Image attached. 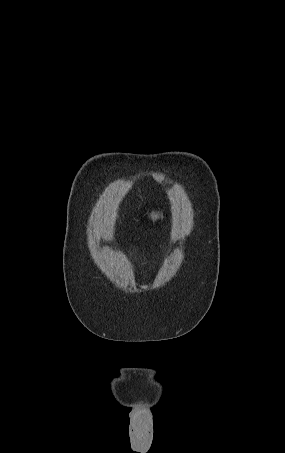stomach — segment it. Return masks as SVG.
I'll return each mask as SVG.
<instances>
[{"label":"stomach","instance_id":"obj_1","mask_svg":"<svg viewBox=\"0 0 285 453\" xmlns=\"http://www.w3.org/2000/svg\"><path fill=\"white\" fill-rule=\"evenodd\" d=\"M148 217L152 221H158L163 218V213L160 211L152 210L151 213L148 214Z\"/></svg>","mask_w":285,"mask_h":453}]
</instances>
